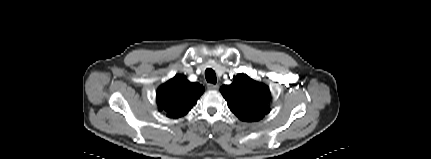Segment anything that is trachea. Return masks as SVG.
Here are the masks:
<instances>
[{"instance_id":"1","label":"trachea","mask_w":431,"mask_h":159,"mask_svg":"<svg viewBox=\"0 0 431 159\" xmlns=\"http://www.w3.org/2000/svg\"><path fill=\"white\" fill-rule=\"evenodd\" d=\"M205 77L207 82L215 84L217 82L215 71L208 68L205 71Z\"/></svg>"}]
</instances>
